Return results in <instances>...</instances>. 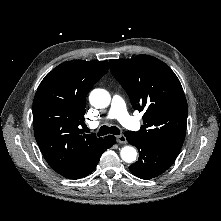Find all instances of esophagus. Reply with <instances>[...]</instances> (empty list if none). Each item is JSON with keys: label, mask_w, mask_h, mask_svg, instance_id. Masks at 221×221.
<instances>
[{"label": "esophagus", "mask_w": 221, "mask_h": 221, "mask_svg": "<svg viewBox=\"0 0 221 221\" xmlns=\"http://www.w3.org/2000/svg\"><path fill=\"white\" fill-rule=\"evenodd\" d=\"M116 140H117L118 143H121V144H125L126 143V137L124 135H122V134L118 135L116 137Z\"/></svg>", "instance_id": "esophagus-1"}]
</instances>
